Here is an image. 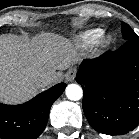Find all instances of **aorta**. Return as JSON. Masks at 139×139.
Segmentation results:
<instances>
[{
    "label": "aorta",
    "instance_id": "1",
    "mask_svg": "<svg viewBox=\"0 0 139 139\" xmlns=\"http://www.w3.org/2000/svg\"><path fill=\"white\" fill-rule=\"evenodd\" d=\"M65 92L67 98L72 101L80 100L83 97V90L78 84H69Z\"/></svg>",
    "mask_w": 139,
    "mask_h": 139
}]
</instances>
